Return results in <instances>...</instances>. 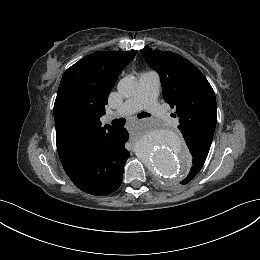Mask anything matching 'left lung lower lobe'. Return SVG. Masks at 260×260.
I'll return each instance as SVG.
<instances>
[{
    "instance_id": "0a47b994",
    "label": "left lung lower lobe",
    "mask_w": 260,
    "mask_h": 260,
    "mask_svg": "<svg viewBox=\"0 0 260 260\" xmlns=\"http://www.w3.org/2000/svg\"><path fill=\"white\" fill-rule=\"evenodd\" d=\"M192 158H193V166L191 167V170L188 174V176L181 181V184H187L189 183L200 171L201 167V160L204 158L201 152L197 151L196 149L190 150ZM206 160V158H205ZM201 167V168H200Z\"/></svg>"
}]
</instances>
